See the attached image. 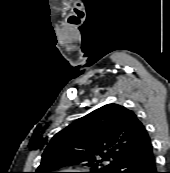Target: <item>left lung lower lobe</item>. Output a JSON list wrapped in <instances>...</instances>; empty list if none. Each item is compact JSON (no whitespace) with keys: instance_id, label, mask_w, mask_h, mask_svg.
<instances>
[{"instance_id":"0a47b994","label":"left lung lower lobe","mask_w":170,"mask_h":173,"mask_svg":"<svg viewBox=\"0 0 170 173\" xmlns=\"http://www.w3.org/2000/svg\"><path fill=\"white\" fill-rule=\"evenodd\" d=\"M113 173H158L152 143L142 150L127 155Z\"/></svg>"}]
</instances>
